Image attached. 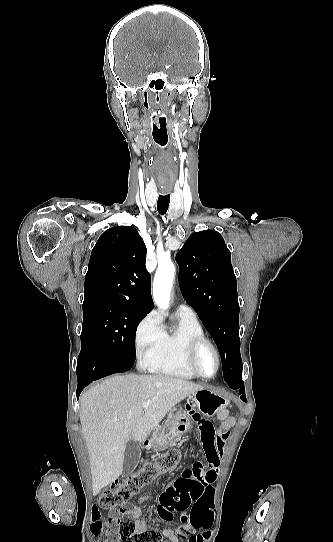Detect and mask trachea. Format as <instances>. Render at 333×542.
Masks as SVG:
<instances>
[{
  "mask_svg": "<svg viewBox=\"0 0 333 542\" xmlns=\"http://www.w3.org/2000/svg\"><path fill=\"white\" fill-rule=\"evenodd\" d=\"M170 202V195H159L157 202V210L161 215H164L167 212Z\"/></svg>",
  "mask_w": 333,
  "mask_h": 542,
  "instance_id": "1",
  "label": "trachea"
}]
</instances>
